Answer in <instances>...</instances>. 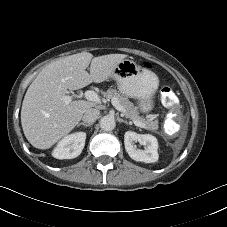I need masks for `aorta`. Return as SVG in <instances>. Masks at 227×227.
<instances>
[{"label":"aorta","mask_w":227,"mask_h":227,"mask_svg":"<svg viewBox=\"0 0 227 227\" xmlns=\"http://www.w3.org/2000/svg\"><path fill=\"white\" fill-rule=\"evenodd\" d=\"M115 119L112 116H103L100 120V127L104 131H111L115 128Z\"/></svg>","instance_id":"aorta-1"}]
</instances>
